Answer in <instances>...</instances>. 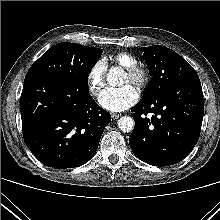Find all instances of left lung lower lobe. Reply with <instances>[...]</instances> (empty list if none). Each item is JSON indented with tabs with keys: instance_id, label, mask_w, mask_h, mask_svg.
I'll return each instance as SVG.
<instances>
[{
	"instance_id": "left-lung-lower-lobe-1",
	"label": "left lung lower lobe",
	"mask_w": 220,
	"mask_h": 220,
	"mask_svg": "<svg viewBox=\"0 0 220 220\" xmlns=\"http://www.w3.org/2000/svg\"><path fill=\"white\" fill-rule=\"evenodd\" d=\"M131 150L140 160L167 166L183 160L196 145L204 113L199 78L180 82L170 90L140 101L133 109ZM151 113L152 117L147 118Z\"/></svg>"
}]
</instances>
